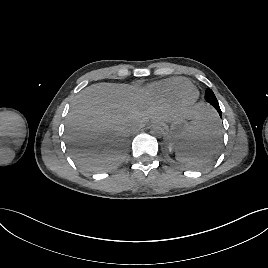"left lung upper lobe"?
I'll return each instance as SVG.
<instances>
[{"instance_id": "1", "label": "left lung upper lobe", "mask_w": 268, "mask_h": 268, "mask_svg": "<svg viewBox=\"0 0 268 268\" xmlns=\"http://www.w3.org/2000/svg\"><path fill=\"white\" fill-rule=\"evenodd\" d=\"M205 100L209 102L210 104L218 103L213 91L211 89H206L205 92Z\"/></svg>"}]
</instances>
